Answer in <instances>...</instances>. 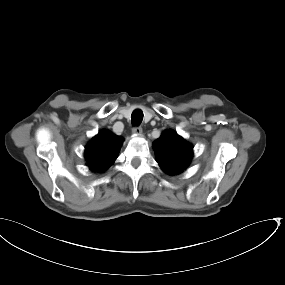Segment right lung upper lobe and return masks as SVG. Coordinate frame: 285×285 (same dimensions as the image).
<instances>
[{"label": "right lung upper lobe", "instance_id": "cb5924a9", "mask_svg": "<svg viewBox=\"0 0 285 285\" xmlns=\"http://www.w3.org/2000/svg\"><path fill=\"white\" fill-rule=\"evenodd\" d=\"M123 138L108 130L100 131L85 148L87 165L94 172H103L109 168L120 151Z\"/></svg>", "mask_w": 285, "mask_h": 285}]
</instances>
